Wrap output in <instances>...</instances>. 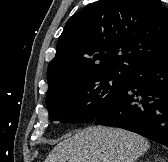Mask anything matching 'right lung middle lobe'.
I'll list each match as a JSON object with an SVG mask.
<instances>
[{
	"mask_svg": "<svg viewBox=\"0 0 168 162\" xmlns=\"http://www.w3.org/2000/svg\"><path fill=\"white\" fill-rule=\"evenodd\" d=\"M129 74H91L58 84L47 91L49 118L61 123L95 120L111 104L128 80Z\"/></svg>",
	"mask_w": 168,
	"mask_h": 162,
	"instance_id": "right-lung-middle-lobe-1",
	"label": "right lung middle lobe"
}]
</instances>
